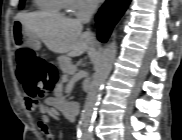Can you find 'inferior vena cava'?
I'll return each instance as SVG.
<instances>
[{
    "label": "inferior vena cava",
    "instance_id": "1",
    "mask_svg": "<svg viewBox=\"0 0 182 140\" xmlns=\"http://www.w3.org/2000/svg\"><path fill=\"white\" fill-rule=\"evenodd\" d=\"M97 2L93 0H84L80 6V12L77 16V21L80 23H89L92 15L97 9Z\"/></svg>",
    "mask_w": 182,
    "mask_h": 140
}]
</instances>
